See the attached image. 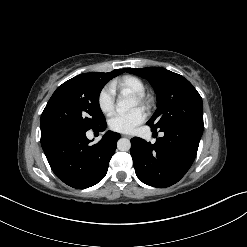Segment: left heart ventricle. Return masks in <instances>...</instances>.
I'll use <instances>...</instances> for the list:
<instances>
[{"mask_svg": "<svg viewBox=\"0 0 247 247\" xmlns=\"http://www.w3.org/2000/svg\"><path fill=\"white\" fill-rule=\"evenodd\" d=\"M134 104H137V101L136 100H134Z\"/></svg>", "mask_w": 247, "mask_h": 247, "instance_id": "1", "label": "left heart ventricle"}]
</instances>
